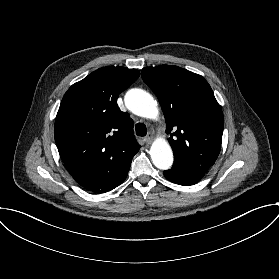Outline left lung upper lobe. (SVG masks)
<instances>
[{"mask_svg": "<svg viewBox=\"0 0 279 279\" xmlns=\"http://www.w3.org/2000/svg\"><path fill=\"white\" fill-rule=\"evenodd\" d=\"M142 78L159 98L174 152L173 166L205 174L215 163L224 117L208 82L178 66L142 69Z\"/></svg>", "mask_w": 279, "mask_h": 279, "instance_id": "obj_1", "label": "left lung upper lobe"}]
</instances>
